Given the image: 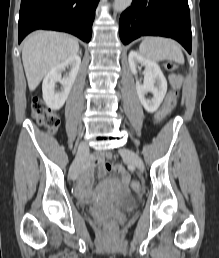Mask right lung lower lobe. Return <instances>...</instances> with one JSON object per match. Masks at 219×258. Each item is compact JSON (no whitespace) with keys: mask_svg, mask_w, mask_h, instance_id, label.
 Masks as SVG:
<instances>
[{"mask_svg":"<svg viewBox=\"0 0 219 258\" xmlns=\"http://www.w3.org/2000/svg\"><path fill=\"white\" fill-rule=\"evenodd\" d=\"M99 0H21L19 43L36 29L71 33L88 43Z\"/></svg>","mask_w":219,"mask_h":258,"instance_id":"1","label":"right lung lower lobe"}]
</instances>
